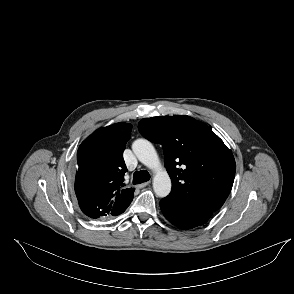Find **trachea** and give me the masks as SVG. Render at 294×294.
<instances>
[{
    "label": "trachea",
    "instance_id": "3493384b",
    "mask_svg": "<svg viewBox=\"0 0 294 294\" xmlns=\"http://www.w3.org/2000/svg\"><path fill=\"white\" fill-rule=\"evenodd\" d=\"M150 179V174L148 171L140 170L136 171L133 174V184H140L143 182H147Z\"/></svg>",
    "mask_w": 294,
    "mask_h": 294
}]
</instances>
